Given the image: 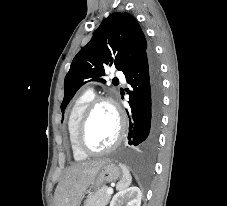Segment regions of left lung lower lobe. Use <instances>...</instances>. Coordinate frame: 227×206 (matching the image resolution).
Wrapping results in <instances>:
<instances>
[{"label":"left lung lower lobe","instance_id":"obj_1","mask_svg":"<svg viewBox=\"0 0 227 206\" xmlns=\"http://www.w3.org/2000/svg\"><path fill=\"white\" fill-rule=\"evenodd\" d=\"M131 90L129 97L130 150L152 151L157 144L161 121L162 82L159 67L153 52L149 49L126 74Z\"/></svg>","mask_w":227,"mask_h":206}]
</instances>
